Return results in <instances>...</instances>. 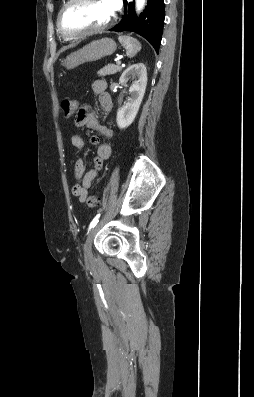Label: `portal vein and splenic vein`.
<instances>
[{"instance_id":"18ae733b","label":"portal vein and splenic vein","mask_w":254,"mask_h":397,"mask_svg":"<svg viewBox=\"0 0 254 397\" xmlns=\"http://www.w3.org/2000/svg\"><path fill=\"white\" fill-rule=\"evenodd\" d=\"M116 64H117V65H121V61L116 60Z\"/></svg>"}]
</instances>
